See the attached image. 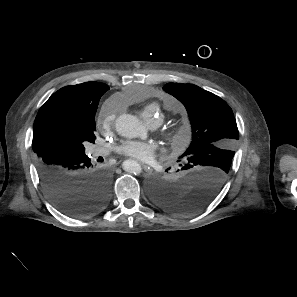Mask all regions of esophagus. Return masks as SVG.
I'll list each match as a JSON object with an SVG mask.
<instances>
[{"mask_svg": "<svg viewBox=\"0 0 297 297\" xmlns=\"http://www.w3.org/2000/svg\"><path fill=\"white\" fill-rule=\"evenodd\" d=\"M141 165L146 172H152V169L147 164L141 163Z\"/></svg>", "mask_w": 297, "mask_h": 297, "instance_id": "esophagus-1", "label": "esophagus"}]
</instances>
